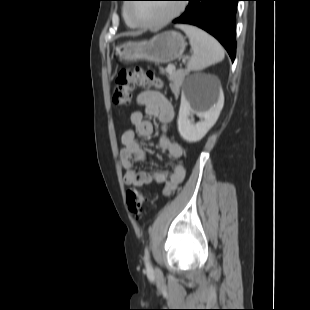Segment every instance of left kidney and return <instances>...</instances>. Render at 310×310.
Masks as SVG:
<instances>
[{
    "label": "left kidney",
    "mask_w": 310,
    "mask_h": 310,
    "mask_svg": "<svg viewBox=\"0 0 310 310\" xmlns=\"http://www.w3.org/2000/svg\"><path fill=\"white\" fill-rule=\"evenodd\" d=\"M198 89H203L200 85ZM223 108V95L220 94L217 104L210 109L199 107L190 92L183 93L177 120L180 136L187 142L200 141L216 123ZM196 114L202 120L194 123L190 117Z\"/></svg>",
    "instance_id": "left-kidney-1"
}]
</instances>
